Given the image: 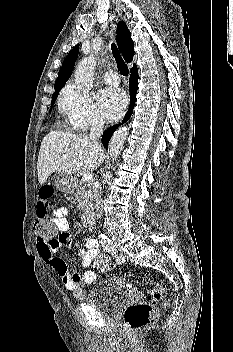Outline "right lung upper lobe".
Returning a JSON list of instances; mask_svg holds the SVG:
<instances>
[{"mask_svg":"<svg viewBox=\"0 0 233 352\" xmlns=\"http://www.w3.org/2000/svg\"><path fill=\"white\" fill-rule=\"evenodd\" d=\"M116 42L121 50V53L127 63L132 62L134 56V42L131 39V33L128 30L125 22L120 21L117 25ZM79 44H77L64 59L62 67L59 70L58 78L56 79L54 89L55 91L61 90L66 81L70 78L75 62L78 57ZM137 69L134 67L131 70Z\"/></svg>","mask_w":233,"mask_h":352,"instance_id":"1","label":"right lung upper lobe"}]
</instances>
